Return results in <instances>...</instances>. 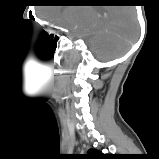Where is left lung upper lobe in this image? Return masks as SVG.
Instances as JSON below:
<instances>
[{"label":"left lung upper lobe","mask_w":159,"mask_h":159,"mask_svg":"<svg viewBox=\"0 0 159 159\" xmlns=\"http://www.w3.org/2000/svg\"><path fill=\"white\" fill-rule=\"evenodd\" d=\"M113 157L108 154H103L95 150H89L84 159H112Z\"/></svg>","instance_id":"obj_1"}]
</instances>
